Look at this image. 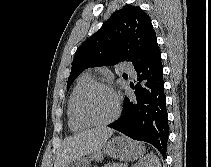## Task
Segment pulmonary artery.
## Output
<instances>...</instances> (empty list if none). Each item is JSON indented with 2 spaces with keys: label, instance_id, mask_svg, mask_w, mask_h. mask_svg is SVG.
Wrapping results in <instances>:
<instances>
[{
  "label": "pulmonary artery",
  "instance_id": "1",
  "mask_svg": "<svg viewBox=\"0 0 211 167\" xmlns=\"http://www.w3.org/2000/svg\"><path fill=\"white\" fill-rule=\"evenodd\" d=\"M123 68L127 71H131V68L129 67L127 63H123Z\"/></svg>",
  "mask_w": 211,
  "mask_h": 167
}]
</instances>
